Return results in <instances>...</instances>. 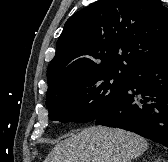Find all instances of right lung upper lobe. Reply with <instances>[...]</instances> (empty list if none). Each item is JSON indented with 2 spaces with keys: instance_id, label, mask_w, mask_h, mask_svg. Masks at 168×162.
<instances>
[{
  "instance_id": "obj_1",
  "label": "right lung upper lobe",
  "mask_w": 168,
  "mask_h": 162,
  "mask_svg": "<svg viewBox=\"0 0 168 162\" xmlns=\"http://www.w3.org/2000/svg\"><path fill=\"white\" fill-rule=\"evenodd\" d=\"M166 56L168 9L160 0H100L65 23L47 69L48 89L90 74H130Z\"/></svg>"
}]
</instances>
